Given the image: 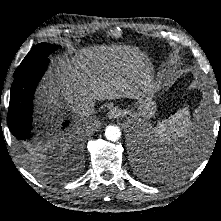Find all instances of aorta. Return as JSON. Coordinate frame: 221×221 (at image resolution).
<instances>
[{
	"mask_svg": "<svg viewBox=\"0 0 221 221\" xmlns=\"http://www.w3.org/2000/svg\"><path fill=\"white\" fill-rule=\"evenodd\" d=\"M105 137L110 141H118L121 137V130L116 126H107L105 129Z\"/></svg>",
	"mask_w": 221,
	"mask_h": 221,
	"instance_id": "obj_1",
	"label": "aorta"
}]
</instances>
